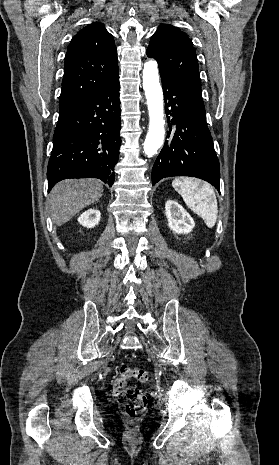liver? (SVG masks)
Here are the masks:
<instances>
[{"instance_id": "liver-1", "label": "liver", "mask_w": 279, "mask_h": 465, "mask_svg": "<svg viewBox=\"0 0 279 465\" xmlns=\"http://www.w3.org/2000/svg\"><path fill=\"white\" fill-rule=\"evenodd\" d=\"M102 183L97 179H67L57 183L50 192L48 207L53 222L61 226L85 207L99 201Z\"/></svg>"}]
</instances>
